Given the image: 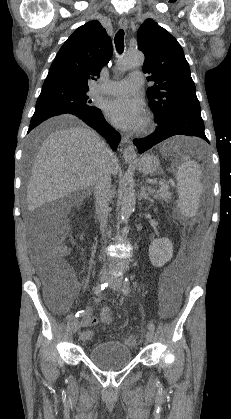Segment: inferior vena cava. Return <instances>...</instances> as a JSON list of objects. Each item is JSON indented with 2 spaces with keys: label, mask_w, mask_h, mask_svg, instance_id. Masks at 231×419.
I'll return each instance as SVG.
<instances>
[{
  "label": "inferior vena cava",
  "mask_w": 231,
  "mask_h": 419,
  "mask_svg": "<svg viewBox=\"0 0 231 419\" xmlns=\"http://www.w3.org/2000/svg\"><path fill=\"white\" fill-rule=\"evenodd\" d=\"M115 157L111 150H107L105 159L103 160L98 171L94 186V194L96 199V212L100 223L102 236H105V228L109 213V201L111 197V171L109 162Z\"/></svg>",
  "instance_id": "602c4592"
}]
</instances>
